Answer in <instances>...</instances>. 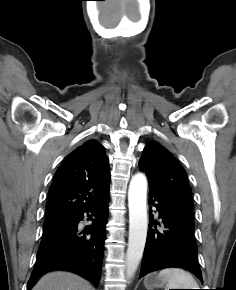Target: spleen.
I'll return each mask as SVG.
<instances>
[{
    "mask_svg": "<svg viewBox=\"0 0 236 290\" xmlns=\"http://www.w3.org/2000/svg\"><path fill=\"white\" fill-rule=\"evenodd\" d=\"M159 277L166 280V289H198V284L193 276L180 268L162 269Z\"/></svg>",
    "mask_w": 236,
    "mask_h": 290,
    "instance_id": "3e777b00",
    "label": "spleen"
}]
</instances>
